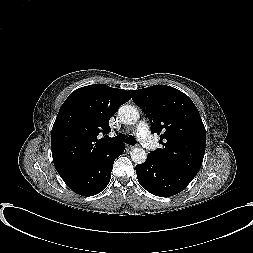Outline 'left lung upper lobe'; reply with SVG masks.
<instances>
[{"mask_svg": "<svg viewBox=\"0 0 253 253\" xmlns=\"http://www.w3.org/2000/svg\"><path fill=\"white\" fill-rule=\"evenodd\" d=\"M132 99L145 112L151 133L160 135L162 148L149 153L159 162L195 177L201 168L206 131L192 100L166 85L130 91Z\"/></svg>", "mask_w": 253, "mask_h": 253, "instance_id": "left-lung-upper-lobe-1", "label": "left lung upper lobe"}]
</instances>
